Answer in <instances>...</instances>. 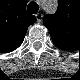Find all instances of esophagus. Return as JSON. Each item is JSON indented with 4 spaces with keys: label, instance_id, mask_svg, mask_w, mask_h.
Segmentation results:
<instances>
[{
    "label": "esophagus",
    "instance_id": "esophagus-1",
    "mask_svg": "<svg viewBox=\"0 0 80 80\" xmlns=\"http://www.w3.org/2000/svg\"><path fill=\"white\" fill-rule=\"evenodd\" d=\"M37 22H41L43 15L41 13H37L36 15Z\"/></svg>",
    "mask_w": 80,
    "mask_h": 80
}]
</instances>
